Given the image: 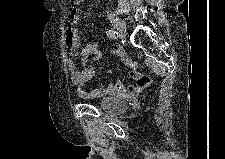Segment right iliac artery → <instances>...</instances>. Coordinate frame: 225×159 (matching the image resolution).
Segmentation results:
<instances>
[{
    "instance_id": "right-iliac-artery-1",
    "label": "right iliac artery",
    "mask_w": 225,
    "mask_h": 159,
    "mask_svg": "<svg viewBox=\"0 0 225 159\" xmlns=\"http://www.w3.org/2000/svg\"><path fill=\"white\" fill-rule=\"evenodd\" d=\"M106 34H107L108 38L113 39V40L117 39V36H118V33L111 29H107Z\"/></svg>"
}]
</instances>
